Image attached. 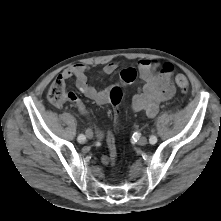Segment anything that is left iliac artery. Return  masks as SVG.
<instances>
[{
    "mask_svg": "<svg viewBox=\"0 0 221 221\" xmlns=\"http://www.w3.org/2000/svg\"><path fill=\"white\" fill-rule=\"evenodd\" d=\"M149 142L151 144H155L157 142V137L155 135H152L150 138H149Z\"/></svg>",
    "mask_w": 221,
    "mask_h": 221,
    "instance_id": "1",
    "label": "left iliac artery"
}]
</instances>
